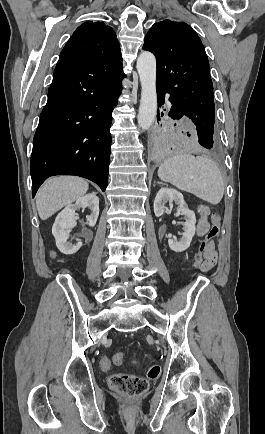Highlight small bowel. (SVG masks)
I'll return each mask as SVG.
<instances>
[{
    "label": "small bowel",
    "mask_w": 265,
    "mask_h": 434,
    "mask_svg": "<svg viewBox=\"0 0 265 434\" xmlns=\"http://www.w3.org/2000/svg\"><path fill=\"white\" fill-rule=\"evenodd\" d=\"M196 211L198 214V223L196 227V234L199 237H203L207 234V232L210 229V223H209V214L210 210L209 207L205 204H199L196 207ZM205 261L210 269H212L216 263H217V252L215 250V244L214 241L211 242L205 251ZM205 272H208V269H205ZM107 358V357H106ZM112 366V362L109 358H107V367L104 370L110 369Z\"/></svg>",
    "instance_id": "small-bowel-1"
}]
</instances>
